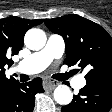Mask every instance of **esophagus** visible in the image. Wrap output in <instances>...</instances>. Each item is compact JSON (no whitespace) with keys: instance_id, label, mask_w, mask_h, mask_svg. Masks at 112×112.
I'll list each match as a JSON object with an SVG mask.
<instances>
[{"instance_id":"1","label":"esophagus","mask_w":112,"mask_h":112,"mask_svg":"<svg viewBox=\"0 0 112 112\" xmlns=\"http://www.w3.org/2000/svg\"><path fill=\"white\" fill-rule=\"evenodd\" d=\"M58 82L50 79L43 81V87L45 90H53L57 86Z\"/></svg>"}]
</instances>
